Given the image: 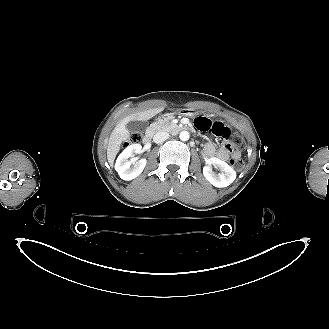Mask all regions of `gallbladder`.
Masks as SVG:
<instances>
[{
	"label": "gallbladder",
	"mask_w": 329,
	"mask_h": 329,
	"mask_svg": "<svg viewBox=\"0 0 329 329\" xmlns=\"http://www.w3.org/2000/svg\"><path fill=\"white\" fill-rule=\"evenodd\" d=\"M148 127V123L146 121H138L132 120L129 121L126 125V128L132 133L143 134Z\"/></svg>",
	"instance_id": "gallbladder-1"
}]
</instances>
